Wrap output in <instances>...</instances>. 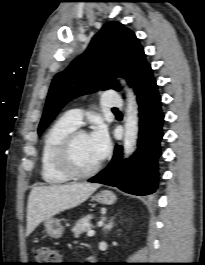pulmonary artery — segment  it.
<instances>
[{"mask_svg":"<svg viewBox=\"0 0 205 265\" xmlns=\"http://www.w3.org/2000/svg\"><path fill=\"white\" fill-rule=\"evenodd\" d=\"M102 104L108 108H120L123 105L122 98L115 91H107L102 98ZM82 111L79 109H71L67 111L64 117L76 126H79L82 121Z\"/></svg>","mask_w":205,"mask_h":265,"instance_id":"e3ab8cb5","label":"pulmonary artery"}]
</instances>
